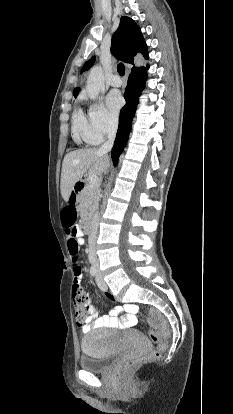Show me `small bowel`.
Here are the masks:
<instances>
[{"instance_id":"obj_1","label":"small bowel","mask_w":233,"mask_h":414,"mask_svg":"<svg viewBox=\"0 0 233 414\" xmlns=\"http://www.w3.org/2000/svg\"><path fill=\"white\" fill-rule=\"evenodd\" d=\"M76 238L79 245L84 243L83 238L81 237V232L76 231ZM72 257V269L74 273V283L72 288L74 291H78L81 288V280H82V270L80 268L81 263L77 260L79 257L78 251L71 252ZM106 298L109 302H114L113 296L107 294ZM137 306L135 304H125L124 307H116L108 312V314L99 316L97 307L92 304L91 300L88 299V305L86 306V310H84V315H87V320L90 321V324H86L82 326V331L87 333L91 328H131L136 325L137 323Z\"/></svg>"}]
</instances>
